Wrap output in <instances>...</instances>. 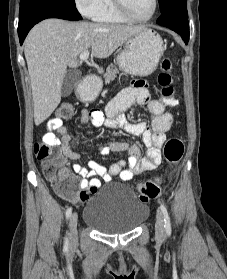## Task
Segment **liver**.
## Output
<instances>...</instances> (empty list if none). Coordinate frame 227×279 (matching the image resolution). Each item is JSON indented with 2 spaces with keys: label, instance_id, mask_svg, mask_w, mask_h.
<instances>
[{
  "label": "liver",
  "instance_id": "6515ba94",
  "mask_svg": "<svg viewBox=\"0 0 227 279\" xmlns=\"http://www.w3.org/2000/svg\"><path fill=\"white\" fill-rule=\"evenodd\" d=\"M142 28L61 19H46L35 25L24 42L35 125L44 122L59 105L67 67H77L82 52L91 48L93 57L108 58Z\"/></svg>",
  "mask_w": 227,
  "mask_h": 279
}]
</instances>
